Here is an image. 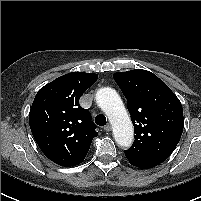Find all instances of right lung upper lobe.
Wrapping results in <instances>:
<instances>
[{"label": "right lung upper lobe", "instance_id": "1", "mask_svg": "<svg viewBox=\"0 0 201 201\" xmlns=\"http://www.w3.org/2000/svg\"><path fill=\"white\" fill-rule=\"evenodd\" d=\"M97 78L95 73H68L35 96L29 113L31 132L41 151L58 165L80 164L98 135L90 113L79 105L81 95Z\"/></svg>", "mask_w": 201, "mask_h": 201}]
</instances>
